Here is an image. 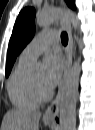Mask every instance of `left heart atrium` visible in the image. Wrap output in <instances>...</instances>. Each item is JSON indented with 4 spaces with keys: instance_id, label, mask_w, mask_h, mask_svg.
Returning <instances> with one entry per match:
<instances>
[{
    "instance_id": "obj_1",
    "label": "left heart atrium",
    "mask_w": 95,
    "mask_h": 130,
    "mask_svg": "<svg viewBox=\"0 0 95 130\" xmlns=\"http://www.w3.org/2000/svg\"><path fill=\"white\" fill-rule=\"evenodd\" d=\"M44 64V85L47 89H52L57 85L61 78L63 63L59 55L51 53L44 58Z\"/></svg>"
}]
</instances>
